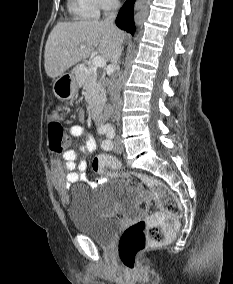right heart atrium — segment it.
<instances>
[{
  "label": "right heart atrium",
  "instance_id": "d8ad5b80",
  "mask_svg": "<svg viewBox=\"0 0 233 284\" xmlns=\"http://www.w3.org/2000/svg\"><path fill=\"white\" fill-rule=\"evenodd\" d=\"M97 7L102 11H110L119 5V0H94Z\"/></svg>",
  "mask_w": 233,
  "mask_h": 284
}]
</instances>
